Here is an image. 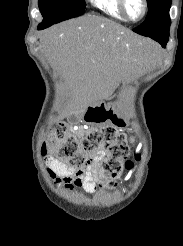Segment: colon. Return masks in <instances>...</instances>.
Returning <instances> with one entry per match:
<instances>
[{
    "label": "colon",
    "instance_id": "obj_1",
    "mask_svg": "<svg viewBox=\"0 0 183 246\" xmlns=\"http://www.w3.org/2000/svg\"><path fill=\"white\" fill-rule=\"evenodd\" d=\"M91 122L116 120L105 108H95L89 112ZM118 123L102 127L89 128L82 138L70 132L64 123L53 125L43 141L44 155L56 156L58 161L80 171L91 162V154L99 149L106 150V158L99 170V185L112 188L116 185L117 176L123 169H130L132 162L128 159L129 147L127 137L120 132Z\"/></svg>",
    "mask_w": 183,
    "mask_h": 246
}]
</instances>
